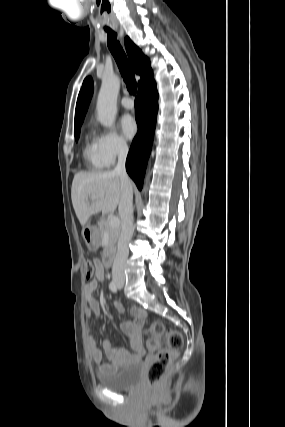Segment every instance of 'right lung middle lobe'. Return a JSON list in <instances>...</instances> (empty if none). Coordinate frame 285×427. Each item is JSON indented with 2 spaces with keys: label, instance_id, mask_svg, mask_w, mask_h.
Segmentation results:
<instances>
[{
  "label": "right lung middle lobe",
  "instance_id": "right-lung-middle-lobe-1",
  "mask_svg": "<svg viewBox=\"0 0 285 427\" xmlns=\"http://www.w3.org/2000/svg\"><path fill=\"white\" fill-rule=\"evenodd\" d=\"M74 134H75V139L77 141L80 135V127L74 129Z\"/></svg>",
  "mask_w": 285,
  "mask_h": 427
}]
</instances>
